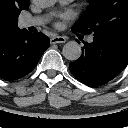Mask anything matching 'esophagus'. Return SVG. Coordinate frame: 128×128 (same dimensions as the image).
<instances>
[{
	"label": "esophagus",
	"mask_w": 128,
	"mask_h": 128,
	"mask_svg": "<svg viewBox=\"0 0 128 128\" xmlns=\"http://www.w3.org/2000/svg\"><path fill=\"white\" fill-rule=\"evenodd\" d=\"M66 38L63 36H53L50 38V43L51 44H59V43H65Z\"/></svg>",
	"instance_id": "esophagus-1"
}]
</instances>
